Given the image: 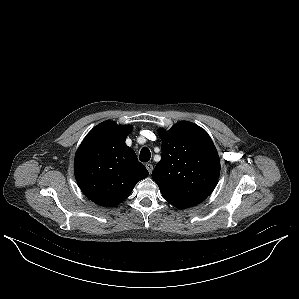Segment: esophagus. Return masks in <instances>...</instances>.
Returning <instances> with one entry per match:
<instances>
[{
    "instance_id": "obj_1",
    "label": "esophagus",
    "mask_w": 299,
    "mask_h": 299,
    "mask_svg": "<svg viewBox=\"0 0 299 299\" xmlns=\"http://www.w3.org/2000/svg\"><path fill=\"white\" fill-rule=\"evenodd\" d=\"M145 167L147 168L149 174H151L152 171H153V165L150 164V163H146V164H145Z\"/></svg>"
}]
</instances>
